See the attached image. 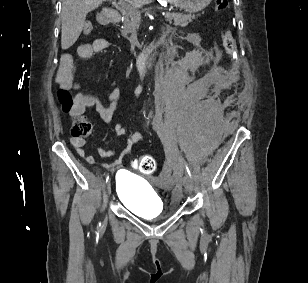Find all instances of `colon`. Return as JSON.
Instances as JSON below:
<instances>
[{"mask_svg":"<svg viewBox=\"0 0 308 283\" xmlns=\"http://www.w3.org/2000/svg\"><path fill=\"white\" fill-rule=\"evenodd\" d=\"M228 8L227 0H216L215 9L217 12H223ZM93 29L91 23H85L83 33L89 34ZM223 48L229 57H234L236 52V43L232 31L227 28L223 34ZM58 101L62 109L70 112L75 107V98L64 89L57 92ZM91 123L82 115H73L71 123V134L75 138H85L91 133ZM134 167L143 174H151L156 169V161L150 155H142L134 161Z\"/></svg>","mask_w":308,"mask_h":283,"instance_id":"1","label":"colon"}]
</instances>
